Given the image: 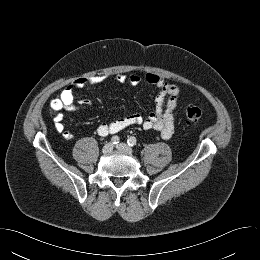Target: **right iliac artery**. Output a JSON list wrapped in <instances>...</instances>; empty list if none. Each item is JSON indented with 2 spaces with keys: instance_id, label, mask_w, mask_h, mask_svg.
I'll list each match as a JSON object with an SVG mask.
<instances>
[{
  "instance_id": "right-iliac-artery-1",
  "label": "right iliac artery",
  "mask_w": 260,
  "mask_h": 260,
  "mask_svg": "<svg viewBox=\"0 0 260 260\" xmlns=\"http://www.w3.org/2000/svg\"><path fill=\"white\" fill-rule=\"evenodd\" d=\"M119 137L118 136H113L112 138H111V142H112V144H114V145H116V144H118L119 143Z\"/></svg>"
}]
</instances>
